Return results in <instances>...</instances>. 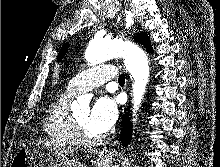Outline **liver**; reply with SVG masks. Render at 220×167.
<instances>
[{
  "mask_svg": "<svg viewBox=\"0 0 220 167\" xmlns=\"http://www.w3.org/2000/svg\"><path fill=\"white\" fill-rule=\"evenodd\" d=\"M33 145L41 146L49 150L57 159L71 158L77 154V150L71 147H62L56 145L54 141L48 139H38L32 143Z\"/></svg>",
  "mask_w": 220,
  "mask_h": 167,
  "instance_id": "obj_1",
  "label": "liver"
}]
</instances>
